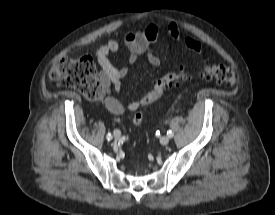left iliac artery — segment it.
I'll return each instance as SVG.
<instances>
[{
  "mask_svg": "<svg viewBox=\"0 0 275 215\" xmlns=\"http://www.w3.org/2000/svg\"><path fill=\"white\" fill-rule=\"evenodd\" d=\"M173 135H174V133H173L171 130H169V131L167 132V136H168L169 138H172Z\"/></svg>",
  "mask_w": 275,
  "mask_h": 215,
  "instance_id": "obj_1",
  "label": "left iliac artery"
}]
</instances>
